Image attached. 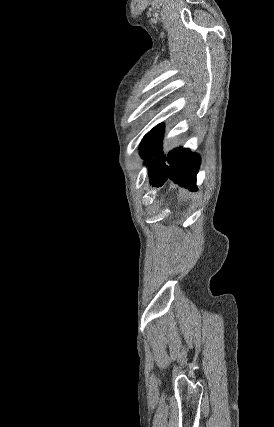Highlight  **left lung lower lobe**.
Wrapping results in <instances>:
<instances>
[{
  "instance_id": "0a47b994",
  "label": "left lung lower lobe",
  "mask_w": 274,
  "mask_h": 427,
  "mask_svg": "<svg viewBox=\"0 0 274 427\" xmlns=\"http://www.w3.org/2000/svg\"><path fill=\"white\" fill-rule=\"evenodd\" d=\"M162 136L163 124H159L145 136L140 145V155L149 166L150 183L160 187L171 179L180 186L195 191L196 175L200 165L199 155L188 149L177 148L169 152L167 157L163 156ZM165 161L169 165H166Z\"/></svg>"
}]
</instances>
